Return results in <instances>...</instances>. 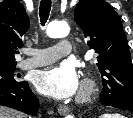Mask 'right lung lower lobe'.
Instances as JSON below:
<instances>
[{
	"label": "right lung lower lobe",
	"instance_id": "1",
	"mask_svg": "<svg viewBox=\"0 0 133 118\" xmlns=\"http://www.w3.org/2000/svg\"><path fill=\"white\" fill-rule=\"evenodd\" d=\"M0 105L35 115L39 101L30 90L28 83L23 81L14 86L0 87Z\"/></svg>",
	"mask_w": 133,
	"mask_h": 118
}]
</instances>
